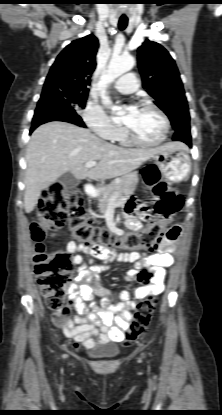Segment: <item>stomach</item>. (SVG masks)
<instances>
[{
	"label": "stomach",
	"instance_id": "stomach-1",
	"mask_svg": "<svg viewBox=\"0 0 222 415\" xmlns=\"http://www.w3.org/2000/svg\"><path fill=\"white\" fill-rule=\"evenodd\" d=\"M152 158L163 176L169 181L181 182L190 173L191 161L187 149H164Z\"/></svg>",
	"mask_w": 222,
	"mask_h": 415
}]
</instances>
